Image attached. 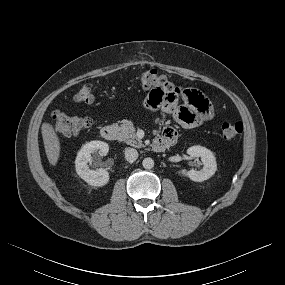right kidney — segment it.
I'll list each match as a JSON object with an SVG mask.
<instances>
[{"label":"right kidney","instance_id":"obj_1","mask_svg":"<svg viewBox=\"0 0 285 285\" xmlns=\"http://www.w3.org/2000/svg\"><path fill=\"white\" fill-rule=\"evenodd\" d=\"M108 151L109 146L103 141L95 140L83 145L75 160L76 172L79 177L91 186L101 187L106 185L109 182V173L103 168L90 169L88 163L93 161L92 153L98 152L100 156H105Z\"/></svg>","mask_w":285,"mask_h":285}]
</instances>
